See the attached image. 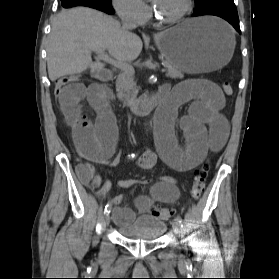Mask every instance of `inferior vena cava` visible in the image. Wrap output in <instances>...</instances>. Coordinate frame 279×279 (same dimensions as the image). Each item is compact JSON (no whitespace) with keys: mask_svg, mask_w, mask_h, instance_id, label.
<instances>
[{"mask_svg":"<svg viewBox=\"0 0 279 279\" xmlns=\"http://www.w3.org/2000/svg\"><path fill=\"white\" fill-rule=\"evenodd\" d=\"M134 28H136L135 24L131 23L128 20H122V29L124 32H129V30H132Z\"/></svg>","mask_w":279,"mask_h":279,"instance_id":"inferior-vena-cava-1","label":"inferior vena cava"}]
</instances>
